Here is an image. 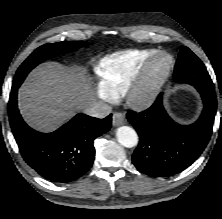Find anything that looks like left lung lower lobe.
<instances>
[{"mask_svg": "<svg viewBox=\"0 0 222 219\" xmlns=\"http://www.w3.org/2000/svg\"><path fill=\"white\" fill-rule=\"evenodd\" d=\"M193 86L201 94L204 109L191 125L182 126L168 116L162 94L147 110L127 113L140 137L132 156L140 172L153 177L171 176L186 169L203 152L212 134L217 99L214 87Z\"/></svg>", "mask_w": 222, "mask_h": 219, "instance_id": "left-lung-lower-lobe-1", "label": "left lung lower lobe"}]
</instances>
